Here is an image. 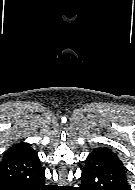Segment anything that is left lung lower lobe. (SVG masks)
<instances>
[{
	"label": "left lung lower lobe",
	"mask_w": 135,
	"mask_h": 190,
	"mask_svg": "<svg viewBox=\"0 0 135 190\" xmlns=\"http://www.w3.org/2000/svg\"><path fill=\"white\" fill-rule=\"evenodd\" d=\"M80 190H130L126 170L107 157L90 153L81 174Z\"/></svg>",
	"instance_id": "0a47b994"
}]
</instances>
